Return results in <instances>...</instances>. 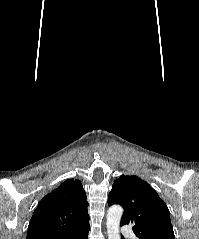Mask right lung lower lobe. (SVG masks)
Listing matches in <instances>:
<instances>
[{
    "label": "right lung lower lobe",
    "instance_id": "98d812e1",
    "mask_svg": "<svg viewBox=\"0 0 199 239\" xmlns=\"http://www.w3.org/2000/svg\"><path fill=\"white\" fill-rule=\"evenodd\" d=\"M90 230V225H86L78 230H76L75 232L60 237L58 239H88V231Z\"/></svg>",
    "mask_w": 199,
    "mask_h": 239
}]
</instances>
